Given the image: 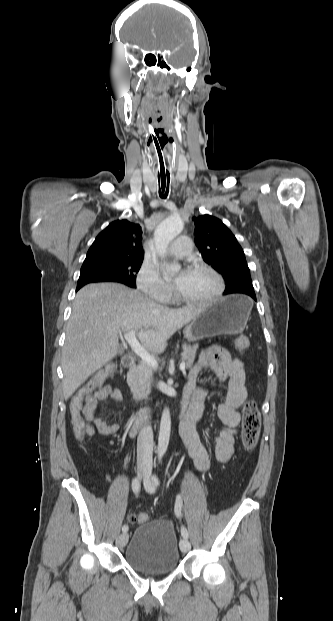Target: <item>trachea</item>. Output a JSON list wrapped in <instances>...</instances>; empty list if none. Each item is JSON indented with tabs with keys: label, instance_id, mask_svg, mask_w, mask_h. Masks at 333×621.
I'll use <instances>...</instances> for the list:
<instances>
[{
	"label": "trachea",
	"instance_id": "1",
	"mask_svg": "<svg viewBox=\"0 0 333 621\" xmlns=\"http://www.w3.org/2000/svg\"><path fill=\"white\" fill-rule=\"evenodd\" d=\"M158 179H159V195L161 198L166 199L168 196V192H169L170 174L169 173H167V175L161 174L160 177L158 174Z\"/></svg>",
	"mask_w": 333,
	"mask_h": 621
}]
</instances>
